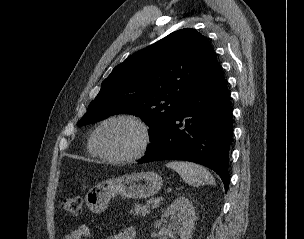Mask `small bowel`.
<instances>
[{
  "mask_svg": "<svg viewBox=\"0 0 304 239\" xmlns=\"http://www.w3.org/2000/svg\"><path fill=\"white\" fill-rule=\"evenodd\" d=\"M91 236L90 229L85 225H80L77 228L67 232L63 239H85ZM136 232L132 227L124 228L121 231L110 235L107 239H135Z\"/></svg>",
  "mask_w": 304,
  "mask_h": 239,
  "instance_id": "c3829d8e",
  "label": "small bowel"
}]
</instances>
